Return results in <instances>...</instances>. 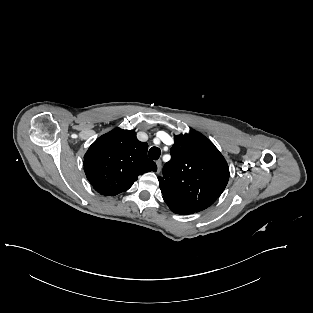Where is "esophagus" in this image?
<instances>
[{
  "label": "esophagus",
  "instance_id": "esophagus-1",
  "mask_svg": "<svg viewBox=\"0 0 313 313\" xmlns=\"http://www.w3.org/2000/svg\"><path fill=\"white\" fill-rule=\"evenodd\" d=\"M156 165H157V173H159L161 171V168H162L161 160H157L156 161Z\"/></svg>",
  "mask_w": 313,
  "mask_h": 313
}]
</instances>
